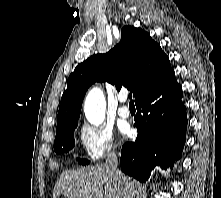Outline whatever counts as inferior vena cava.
<instances>
[{
	"label": "inferior vena cava",
	"instance_id": "602c4592",
	"mask_svg": "<svg viewBox=\"0 0 221 198\" xmlns=\"http://www.w3.org/2000/svg\"><path fill=\"white\" fill-rule=\"evenodd\" d=\"M118 166V157L115 151L110 152L107 155L105 160L104 167L107 171L111 173L114 179L120 185L123 198H133L134 196V187L132 183L128 180V178L117 168Z\"/></svg>",
	"mask_w": 221,
	"mask_h": 198
}]
</instances>
